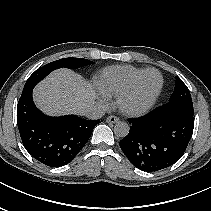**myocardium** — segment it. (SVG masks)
Returning <instances> with one entry per match:
<instances>
[{"mask_svg":"<svg viewBox=\"0 0 211 211\" xmlns=\"http://www.w3.org/2000/svg\"><path fill=\"white\" fill-rule=\"evenodd\" d=\"M155 72L160 76L161 83L156 91V93L152 96V98L145 103L142 106L139 107H133L129 104L130 99L135 95L137 92L142 80L145 78L146 75L149 73ZM164 87V77L162 73L156 69H147L143 73H141L134 81L133 83L120 95L117 96V106L120 109V111L128 116H140L147 112H149L156 102L158 101L162 90Z\"/></svg>","mask_w":211,"mask_h":211,"instance_id":"1","label":"myocardium"}]
</instances>
